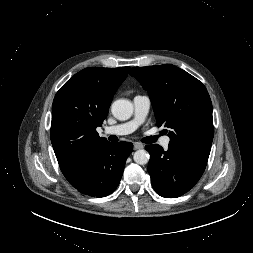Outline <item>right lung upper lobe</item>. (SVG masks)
<instances>
[{"mask_svg": "<svg viewBox=\"0 0 253 253\" xmlns=\"http://www.w3.org/2000/svg\"><path fill=\"white\" fill-rule=\"evenodd\" d=\"M130 67H88L73 75L52 104L51 142L63 175L70 177L100 144L96 128Z\"/></svg>", "mask_w": 253, "mask_h": 253, "instance_id": "cb5924a9", "label": "right lung upper lobe"}]
</instances>
